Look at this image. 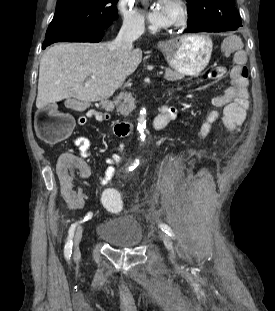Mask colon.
<instances>
[{
    "mask_svg": "<svg viewBox=\"0 0 275 311\" xmlns=\"http://www.w3.org/2000/svg\"><path fill=\"white\" fill-rule=\"evenodd\" d=\"M243 74H247L244 70ZM215 76H219L220 72H215ZM77 101H72L69 107H73ZM221 124L223 130H238V118H222ZM75 125V118L65 112L58 111L55 107L49 106L40 111L36 118V134L37 136L49 143H58L70 135ZM103 205L109 211L119 210L121 207V197L118 190H101Z\"/></svg>",
    "mask_w": 275,
    "mask_h": 311,
    "instance_id": "1",
    "label": "colon"
}]
</instances>
